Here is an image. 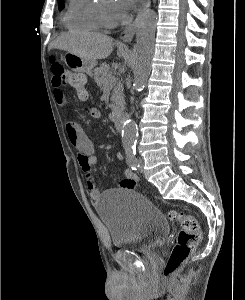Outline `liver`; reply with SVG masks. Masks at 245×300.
<instances>
[{
	"label": "liver",
	"instance_id": "1",
	"mask_svg": "<svg viewBox=\"0 0 245 300\" xmlns=\"http://www.w3.org/2000/svg\"><path fill=\"white\" fill-rule=\"evenodd\" d=\"M60 49L76 54L84 59L107 58L113 50V39L100 33L68 32L60 35L50 45L49 50Z\"/></svg>",
	"mask_w": 245,
	"mask_h": 300
}]
</instances>
